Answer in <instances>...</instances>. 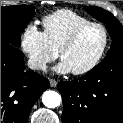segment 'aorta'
<instances>
[{
	"label": "aorta",
	"mask_w": 123,
	"mask_h": 123,
	"mask_svg": "<svg viewBox=\"0 0 123 123\" xmlns=\"http://www.w3.org/2000/svg\"><path fill=\"white\" fill-rule=\"evenodd\" d=\"M42 102L48 108H56L61 103V95L52 90L45 91L42 95Z\"/></svg>",
	"instance_id": "obj_1"
}]
</instances>
